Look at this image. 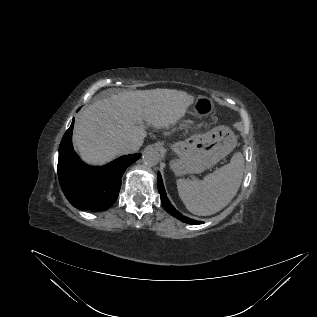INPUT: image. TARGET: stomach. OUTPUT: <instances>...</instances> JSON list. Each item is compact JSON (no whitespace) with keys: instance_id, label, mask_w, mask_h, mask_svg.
I'll use <instances>...</instances> for the list:
<instances>
[{"instance_id":"stomach-1","label":"stomach","mask_w":317,"mask_h":317,"mask_svg":"<svg viewBox=\"0 0 317 317\" xmlns=\"http://www.w3.org/2000/svg\"><path fill=\"white\" fill-rule=\"evenodd\" d=\"M196 105L204 107L205 114L214 109L211 99L200 96ZM237 138L227 126H217L205 134H193L184 141L171 145L178 159L171 162V169L176 175L201 173L228 155L236 146Z\"/></svg>"}]
</instances>
